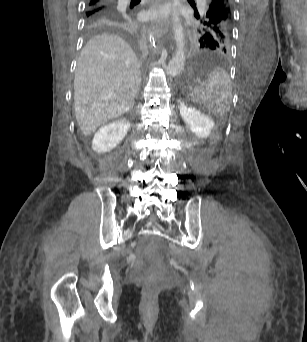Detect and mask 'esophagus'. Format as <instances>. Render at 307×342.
Listing matches in <instances>:
<instances>
[{
    "label": "esophagus",
    "instance_id": "34e87169",
    "mask_svg": "<svg viewBox=\"0 0 307 342\" xmlns=\"http://www.w3.org/2000/svg\"><path fill=\"white\" fill-rule=\"evenodd\" d=\"M159 2H162V0H155L154 2V7L157 6V4ZM152 26L156 29L155 31V40H156V45L157 46H162L163 45V30H162V26L160 25V23L158 21H152Z\"/></svg>",
    "mask_w": 307,
    "mask_h": 342
}]
</instances>
